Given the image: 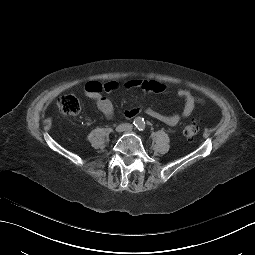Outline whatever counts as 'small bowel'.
<instances>
[{
    "mask_svg": "<svg viewBox=\"0 0 255 255\" xmlns=\"http://www.w3.org/2000/svg\"><path fill=\"white\" fill-rule=\"evenodd\" d=\"M138 88L144 93H162L165 91V86L155 80H145V79H134L128 80L121 83L118 80L108 82L106 84H101L97 81H90L85 85L84 94L88 98H91L95 101L97 108L100 112L107 118L112 119L114 116V106L112 102L103 95L105 92H111L119 88ZM176 95L183 99L184 107L181 114L174 113L172 115H163L150 107L142 108L135 107L128 109L124 112V116L128 119L135 117L140 112L144 111L148 116L164 123L169 126L177 125L182 119L191 115L194 111L198 100L193 96V94L185 88H178Z\"/></svg>",
    "mask_w": 255,
    "mask_h": 255,
    "instance_id": "small-bowel-1",
    "label": "small bowel"
}]
</instances>
